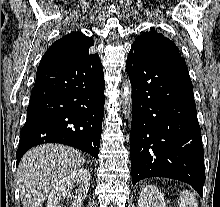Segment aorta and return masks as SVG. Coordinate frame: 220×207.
Wrapping results in <instances>:
<instances>
[{
  "mask_svg": "<svg viewBox=\"0 0 220 207\" xmlns=\"http://www.w3.org/2000/svg\"><path fill=\"white\" fill-rule=\"evenodd\" d=\"M123 98H124V104L128 106L130 109L131 106V95H132V88L130 81H126L123 86V92H122Z\"/></svg>",
  "mask_w": 220,
  "mask_h": 207,
  "instance_id": "762f6f07",
  "label": "aorta"
}]
</instances>
